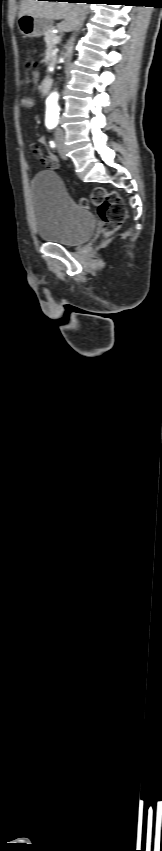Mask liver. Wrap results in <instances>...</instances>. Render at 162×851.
<instances>
[{"instance_id": "obj_1", "label": "liver", "mask_w": 162, "mask_h": 851, "mask_svg": "<svg viewBox=\"0 0 162 851\" xmlns=\"http://www.w3.org/2000/svg\"><path fill=\"white\" fill-rule=\"evenodd\" d=\"M87 5L85 3L22 0L19 16L31 15L48 20H63L59 27L71 31L82 22Z\"/></svg>"}]
</instances>
